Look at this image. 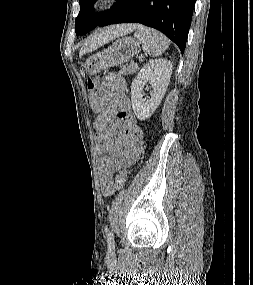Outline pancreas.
Listing matches in <instances>:
<instances>
[{
  "instance_id": "pancreas-1",
  "label": "pancreas",
  "mask_w": 253,
  "mask_h": 285,
  "mask_svg": "<svg viewBox=\"0 0 253 285\" xmlns=\"http://www.w3.org/2000/svg\"><path fill=\"white\" fill-rule=\"evenodd\" d=\"M137 70H138L137 65L124 66L122 67L120 73L123 75H130L135 73Z\"/></svg>"
}]
</instances>
